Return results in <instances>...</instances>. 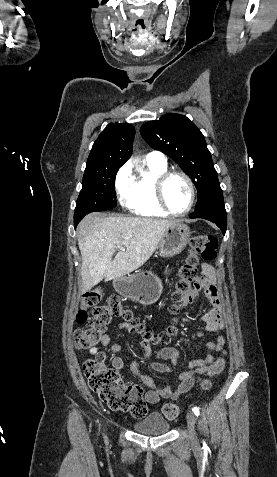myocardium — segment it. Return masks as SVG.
I'll return each mask as SVG.
<instances>
[{
	"mask_svg": "<svg viewBox=\"0 0 277 477\" xmlns=\"http://www.w3.org/2000/svg\"><path fill=\"white\" fill-rule=\"evenodd\" d=\"M173 176H181L182 178L185 179L189 186L190 190V201L186 209L180 212H176L172 210L166 200L165 196V187L168 182V180L173 177ZM155 196L157 199V202L159 206L169 215L171 216H185L187 215L193 208L195 201H196V188L194 185V182L192 178L185 173L184 171L181 170H166L165 172L161 173L155 181Z\"/></svg>",
	"mask_w": 277,
	"mask_h": 477,
	"instance_id": "f54148a6",
	"label": "myocardium"
}]
</instances>
